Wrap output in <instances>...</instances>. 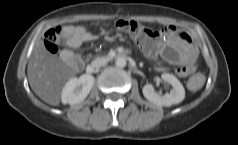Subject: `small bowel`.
<instances>
[{"label": "small bowel", "mask_w": 238, "mask_h": 145, "mask_svg": "<svg viewBox=\"0 0 238 145\" xmlns=\"http://www.w3.org/2000/svg\"><path fill=\"white\" fill-rule=\"evenodd\" d=\"M85 38H90L91 39V38H93V36L92 35H87V34H79V35H76L75 37H72V40L77 42V41H79L81 39H85ZM195 68H196V66L192 63V64H190L186 67L179 68L178 73L182 76H185L187 74H190V73L194 72Z\"/></svg>", "instance_id": "1"}]
</instances>
